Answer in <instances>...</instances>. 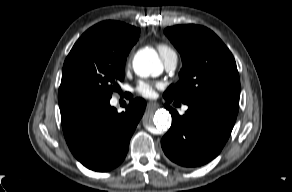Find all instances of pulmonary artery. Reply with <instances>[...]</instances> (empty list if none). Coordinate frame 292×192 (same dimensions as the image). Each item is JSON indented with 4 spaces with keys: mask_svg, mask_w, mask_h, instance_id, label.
I'll use <instances>...</instances> for the list:
<instances>
[{
    "mask_svg": "<svg viewBox=\"0 0 292 192\" xmlns=\"http://www.w3.org/2000/svg\"><path fill=\"white\" fill-rule=\"evenodd\" d=\"M177 61H178V58L175 52H171L163 58L165 68L168 71L174 70L176 68ZM187 109H188L187 106L183 107V111H186Z\"/></svg>",
    "mask_w": 292,
    "mask_h": 192,
    "instance_id": "pulmonary-artery-1",
    "label": "pulmonary artery"
}]
</instances>
